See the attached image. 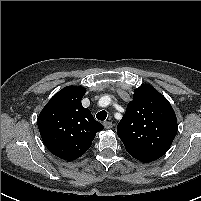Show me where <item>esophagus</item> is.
Segmentation results:
<instances>
[{
	"label": "esophagus",
	"instance_id": "34e87169",
	"mask_svg": "<svg viewBox=\"0 0 201 201\" xmlns=\"http://www.w3.org/2000/svg\"><path fill=\"white\" fill-rule=\"evenodd\" d=\"M103 125H104V127H105L106 129H110V128L113 127V124H112V122H110V121H104V122H103Z\"/></svg>",
	"mask_w": 201,
	"mask_h": 201
}]
</instances>
